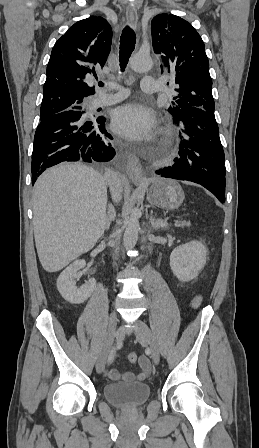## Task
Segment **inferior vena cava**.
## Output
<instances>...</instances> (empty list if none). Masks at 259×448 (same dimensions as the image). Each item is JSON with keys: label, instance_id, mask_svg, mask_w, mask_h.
Here are the masks:
<instances>
[{"label": "inferior vena cava", "instance_id": "1", "mask_svg": "<svg viewBox=\"0 0 259 448\" xmlns=\"http://www.w3.org/2000/svg\"><path fill=\"white\" fill-rule=\"evenodd\" d=\"M105 180H107L110 186L111 196L114 202H119L120 198H122V180L118 174V172H107L105 174Z\"/></svg>", "mask_w": 259, "mask_h": 448}]
</instances>
